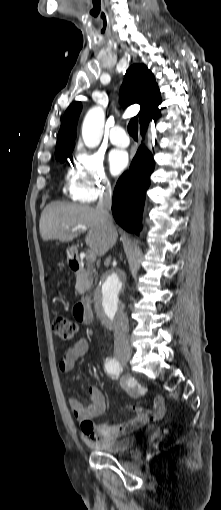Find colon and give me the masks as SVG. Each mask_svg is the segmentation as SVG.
I'll return each instance as SVG.
<instances>
[{"label":"colon","mask_w":221,"mask_h":510,"mask_svg":"<svg viewBox=\"0 0 221 510\" xmlns=\"http://www.w3.org/2000/svg\"><path fill=\"white\" fill-rule=\"evenodd\" d=\"M52 329L60 341L66 344L73 342L78 333L77 323L63 316L53 319Z\"/></svg>","instance_id":"5ec220e1"}]
</instances>
